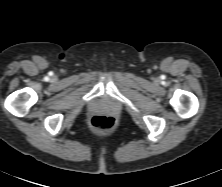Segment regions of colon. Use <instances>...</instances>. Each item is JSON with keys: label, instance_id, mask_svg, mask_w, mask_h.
Masks as SVG:
<instances>
[{"label": "colon", "instance_id": "colon-1", "mask_svg": "<svg viewBox=\"0 0 222 187\" xmlns=\"http://www.w3.org/2000/svg\"><path fill=\"white\" fill-rule=\"evenodd\" d=\"M90 123L93 129L100 132H108L115 126V120L112 117L103 115L94 116Z\"/></svg>", "mask_w": 222, "mask_h": 187}]
</instances>
